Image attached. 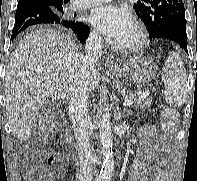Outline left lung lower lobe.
Instances as JSON below:
<instances>
[{"mask_svg":"<svg viewBox=\"0 0 197 181\" xmlns=\"http://www.w3.org/2000/svg\"><path fill=\"white\" fill-rule=\"evenodd\" d=\"M158 38L170 39L178 43L188 53L186 21H174L164 26L159 32Z\"/></svg>","mask_w":197,"mask_h":181,"instance_id":"obj_1","label":"left lung lower lobe"}]
</instances>
